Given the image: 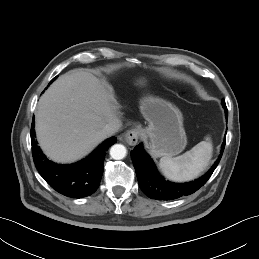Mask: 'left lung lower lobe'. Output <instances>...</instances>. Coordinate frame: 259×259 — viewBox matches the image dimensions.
<instances>
[{
	"mask_svg": "<svg viewBox=\"0 0 259 259\" xmlns=\"http://www.w3.org/2000/svg\"><path fill=\"white\" fill-rule=\"evenodd\" d=\"M222 105L225 109V117L227 118L228 111L224 100H222ZM224 147L225 141L221 146L219 158L204 176L195 181L182 184L172 183L163 179L158 174L153 160L143 150L142 144L137 145L133 151H131V158L141 190L151 199L173 200L196 192L207 182L222 157Z\"/></svg>",
	"mask_w": 259,
	"mask_h": 259,
	"instance_id": "0a47b994",
	"label": "left lung lower lobe"
}]
</instances>
